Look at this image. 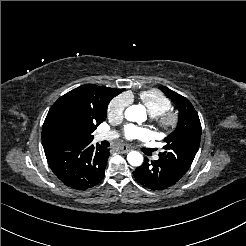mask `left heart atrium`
I'll list each match as a JSON object with an SVG mask.
<instances>
[{
    "label": "left heart atrium",
    "mask_w": 246,
    "mask_h": 246,
    "mask_svg": "<svg viewBox=\"0 0 246 246\" xmlns=\"http://www.w3.org/2000/svg\"><path fill=\"white\" fill-rule=\"evenodd\" d=\"M125 137L128 140H143L150 137L151 133L148 129L137 127L129 124L124 129Z\"/></svg>",
    "instance_id": "obj_1"
}]
</instances>
